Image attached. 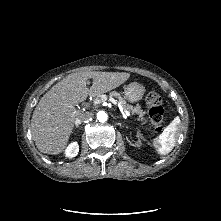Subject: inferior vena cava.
<instances>
[{
	"label": "inferior vena cava",
	"instance_id": "1",
	"mask_svg": "<svg viewBox=\"0 0 221 221\" xmlns=\"http://www.w3.org/2000/svg\"><path fill=\"white\" fill-rule=\"evenodd\" d=\"M92 117H93V113H91V112H83L76 119V123L80 124V123H82L84 121H87V120L91 119Z\"/></svg>",
	"mask_w": 221,
	"mask_h": 221
}]
</instances>
